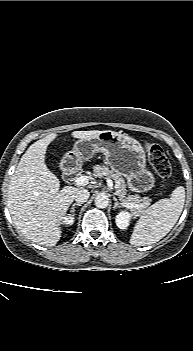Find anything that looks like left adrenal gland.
I'll return each mask as SVG.
<instances>
[{
	"label": "left adrenal gland",
	"instance_id": "a2214340",
	"mask_svg": "<svg viewBox=\"0 0 193 351\" xmlns=\"http://www.w3.org/2000/svg\"><path fill=\"white\" fill-rule=\"evenodd\" d=\"M113 200H114V208L116 209L117 207H120V203L119 201L117 200V198L115 196H113Z\"/></svg>",
	"mask_w": 193,
	"mask_h": 351
}]
</instances>
